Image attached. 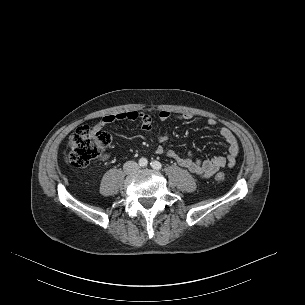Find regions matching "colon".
<instances>
[{
  "mask_svg": "<svg viewBox=\"0 0 305 305\" xmlns=\"http://www.w3.org/2000/svg\"><path fill=\"white\" fill-rule=\"evenodd\" d=\"M111 141V135L105 131L96 130L91 126L80 127L70 137V149L65 155L64 161L72 168H84L109 147ZM214 180L217 183L224 182L225 173H217Z\"/></svg>",
  "mask_w": 305,
  "mask_h": 305,
  "instance_id": "5ec220e1",
  "label": "colon"
}]
</instances>
